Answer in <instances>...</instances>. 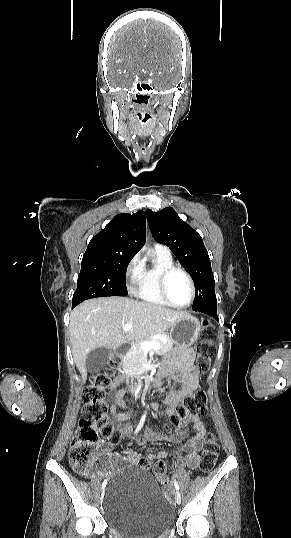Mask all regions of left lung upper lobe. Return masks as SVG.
Returning <instances> with one entry per match:
<instances>
[{"mask_svg":"<svg viewBox=\"0 0 291 538\" xmlns=\"http://www.w3.org/2000/svg\"><path fill=\"white\" fill-rule=\"evenodd\" d=\"M146 216L156 242L167 245L191 275L195 285L193 306L217 302L210 258L199 233L171 207L157 212L147 209Z\"/></svg>","mask_w":291,"mask_h":538,"instance_id":"5c2ea615","label":"left lung upper lobe"}]
</instances>
